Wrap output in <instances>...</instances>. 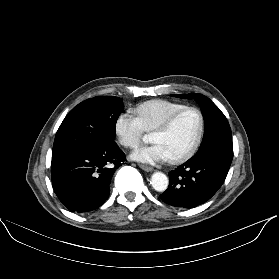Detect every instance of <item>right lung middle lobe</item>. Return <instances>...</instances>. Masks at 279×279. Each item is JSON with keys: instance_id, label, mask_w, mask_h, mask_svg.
Here are the masks:
<instances>
[{"instance_id": "obj_1", "label": "right lung middle lobe", "mask_w": 279, "mask_h": 279, "mask_svg": "<svg viewBox=\"0 0 279 279\" xmlns=\"http://www.w3.org/2000/svg\"><path fill=\"white\" fill-rule=\"evenodd\" d=\"M121 101L118 97L98 96L74 107L56 133L52 153L99 148L114 141L116 122L123 110Z\"/></svg>"}]
</instances>
